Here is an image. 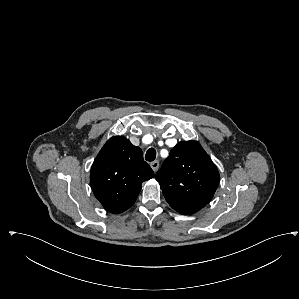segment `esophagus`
I'll return each mask as SVG.
<instances>
[{
    "label": "esophagus",
    "instance_id": "1",
    "mask_svg": "<svg viewBox=\"0 0 299 299\" xmlns=\"http://www.w3.org/2000/svg\"><path fill=\"white\" fill-rule=\"evenodd\" d=\"M159 161L158 160H155L153 162H151L150 166L151 168L153 169L154 172H156L159 168Z\"/></svg>",
    "mask_w": 299,
    "mask_h": 299
}]
</instances>
